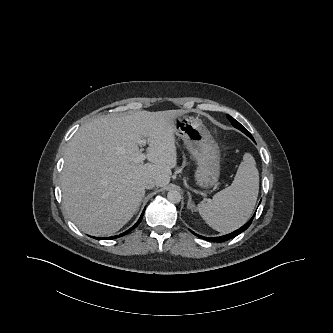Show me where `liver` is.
Listing matches in <instances>:
<instances>
[{"mask_svg": "<svg viewBox=\"0 0 333 333\" xmlns=\"http://www.w3.org/2000/svg\"><path fill=\"white\" fill-rule=\"evenodd\" d=\"M184 113L108 114L79 128L65 152L61 189L65 210L80 230L112 235L137 211L147 180L169 184L177 165L174 120ZM143 138L150 163H135Z\"/></svg>", "mask_w": 333, "mask_h": 333, "instance_id": "liver-1", "label": "liver"}]
</instances>
